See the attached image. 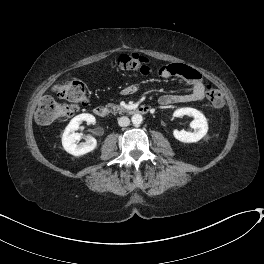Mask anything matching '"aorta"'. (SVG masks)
Wrapping results in <instances>:
<instances>
[{
  "label": "aorta",
  "instance_id": "aorta-1",
  "mask_svg": "<svg viewBox=\"0 0 264 264\" xmlns=\"http://www.w3.org/2000/svg\"><path fill=\"white\" fill-rule=\"evenodd\" d=\"M131 121L134 125H140L143 121V117L141 114H134L132 117H131Z\"/></svg>",
  "mask_w": 264,
  "mask_h": 264
}]
</instances>
